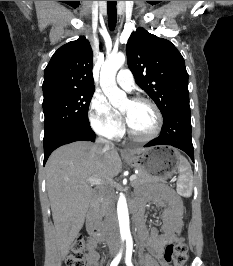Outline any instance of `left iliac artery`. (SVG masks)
I'll list each match as a JSON object with an SVG mask.
<instances>
[{"instance_id": "obj_1", "label": "left iliac artery", "mask_w": 233, "mask_h": 266, "mask_svg": "<svg viewBox=\"0 0 233 266\" xmlns=\"http://www.w3.org/2000/svg\"><path fill=\"white\" fill-rule=\"evenodd\" d=\"M132 250H133V240L132 237L129 236L126 239V257H125V261L127 266H133L132 263Z\"/></svg>"}]
</instances>
